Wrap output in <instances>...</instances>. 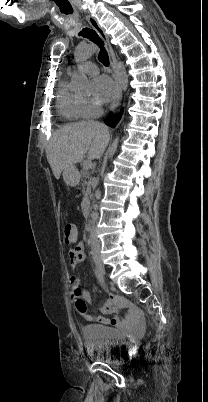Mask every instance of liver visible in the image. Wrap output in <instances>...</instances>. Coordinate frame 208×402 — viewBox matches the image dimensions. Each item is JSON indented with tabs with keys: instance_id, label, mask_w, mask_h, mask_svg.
Segmentation results:
<instances>
[{
	"instance_id": "6515ba94",
	"label": "liver",
	"mask_w": 208,
	"mask_h": 402,
	"mask_svg": "<svg viewBox=\"0 0 208 402\" xmlns=\"http://www.w3.org/2000/svg\"><path fill=\"white\" fill-rule=\"evenodd\" d=\"M108 142V128L98 122L69 124L56 130L46 150L56 180H59L62 170L80 162L87 152L88 160L101 158Z\"/></svg>"
}]
</instances>
